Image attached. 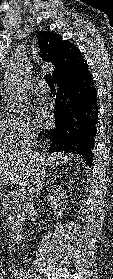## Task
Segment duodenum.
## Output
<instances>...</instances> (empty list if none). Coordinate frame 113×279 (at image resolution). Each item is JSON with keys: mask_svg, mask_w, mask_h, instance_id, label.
<instances>
[{"mask_svg": "<svg viewBox=\"0 0 113 279\" xmlns=\"http://www.w3.org/2000/svg\"><path fill=\"white\" fill-rule=\"evenodd\" d=\"M22 227L15 226L10 233V240L13 244H17L22 238Z\"/></svg>", "mask_w": 113, "mask_h": 279, "instance_id": "duodenum-1", "label": "duodenum"}]
</instances>
